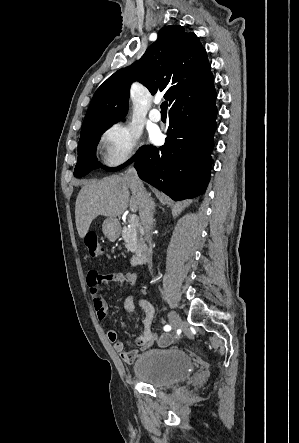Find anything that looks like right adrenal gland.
<instances>
[{
	"mask_svg": "<svg viewBox=\"0 0 299 443\" xmlns=\"http://www.w3.org/2000/svg\"><path fill=\"white\" fill-rule=\"evenodd\" d=\"M151 205H152V210L154 213L155 212V202H154L153 198H151Z\"/></svg>",
	"mask_w": 299,
	"mask_h": 443,
	"instance_id": "2a0ac1e0",
	"label": "right adrenal gland"
}]
</instances>
